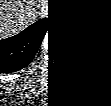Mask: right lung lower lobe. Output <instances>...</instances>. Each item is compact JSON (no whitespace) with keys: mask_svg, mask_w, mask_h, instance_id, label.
I'll return each mask as SVG.
<instances>
[{"mask_svg":"<svg viewBox=\"0 0 111 106\" xmlns=\"http://www.w3.org/2000/svg\"><path fill=\"white\" fill-rule=\"evenodd\" d=\"M54 20L55 15L49 11L47 18L36 21L13 37L0 40V73L16 72L26 67Z\"/></svg>","mask_w":111,"mask_h":106,"instance_id":"1","label":"right lung lower lobe"}]
</instances>
